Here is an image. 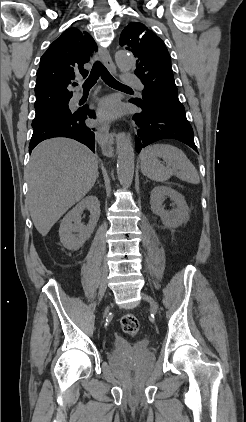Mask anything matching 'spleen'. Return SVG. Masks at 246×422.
<instances>
[{"label": "spleen", "mask_w": 246, "mask_h": 422, "mask_svg": "<svg viewBox=\"0 0 246 422\" xmlns=\"http://www.w3.org/2000/svg\"><path fill=\"white\" fill-rule=\"evenodd\" d=\"M143 175L156 182H165L175 175L179 179L199 184L195 166L179 148L169 144H154L143 149L140 155ZM159 158L163 159V165Z\"/></svg>", "instance_id": "spleen-1"}]
</instances>
